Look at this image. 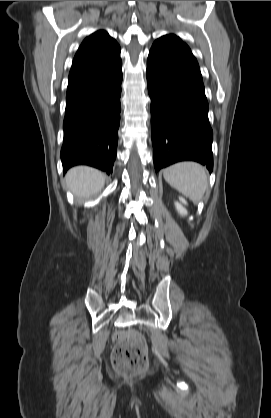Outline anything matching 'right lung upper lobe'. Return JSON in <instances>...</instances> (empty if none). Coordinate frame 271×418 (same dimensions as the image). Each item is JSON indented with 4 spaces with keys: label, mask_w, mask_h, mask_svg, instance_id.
Instances as JSON below:
<instances>
[{
    "label": "right lung upper lobe",
    "mask_w": 271,
    "mask_h": 418,
    "mask_svg": "<svg viewBox=\"0 0 271 418\" xmlns=\"http://www.w3.org/2000/svg\"><path fill=\"white\" fill-rule=\"evenodd\" d=\"M120 60L118 43L106 31L94 32L83 40L73 59L67 92L89 82Z\"/></svg>",
    "instance_id": "obj_1"
}]
</instances>
